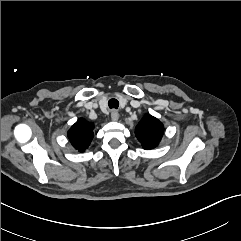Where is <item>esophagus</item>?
<instances>
[{
	"instance_id": "esophagus-1",
	"label": "esophagus",
	"mask_w": 241,
	"mask_h": 241,
	"mask_svg": "<svg viewBox=\"0 0 241 241\" xmlns=\"http://www.w3.org/2000/svg\"><path fill=\"white\" fill-rule=\"evenodd\" d=\"M111 119H112V121H118V119H119V114H118V112H117L116 110H113V111L111 112Z\"/></svg>"
}]
</instances>
